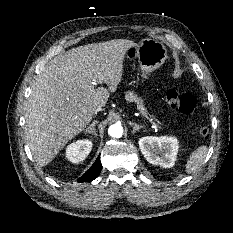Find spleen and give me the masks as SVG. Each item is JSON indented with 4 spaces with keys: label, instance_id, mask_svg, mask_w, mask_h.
<instances>
[{
    "label": "spleen",
    "instance_id": "3e777b00",
    "mask_svg": "<svg viewBox=\"0 0 233 233\" xmlns=\"http://www.w3.org/2000/svg\"><path fill=\"white\" fill-rule=\"evenodd\" d=\"M208 153V148L205 145L199 146L192 152L190 159L186 163V172L188 174L196 172L204 163Z\"/></svg>",
    "mask_w": 233,
    "mask_h": 233
}]
</instances>
